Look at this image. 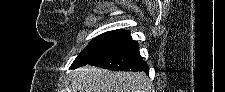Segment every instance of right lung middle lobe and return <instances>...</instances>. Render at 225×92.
Returning <instances> with one entry per match:
<instances>
[{"label":"right lung middle lobe","instance_id":"obj_1","mask_svg":"<svg viewBox=\"0 0 225 92\" xmlns=\"http://www.w3.org/2000/svg\"><path fill=\"white\" fill-rule=\"evenodd\" d=\"M134 42L136 41L132 40L129 31L119 29L105 32L94 38L87 47L82 50L70 66V69H76L80 66L87 65L103 55L126 47Z\"/></svg>","mask_w":225,"mask_h":92}]
</instances>
